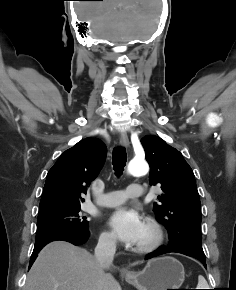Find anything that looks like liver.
<instances>
[{
  "instance_id": "liver-1",
  "label": "liver",
  "mask_w": 236,
  "mask_h": 290,
  "mask_svg": "<svg viewBox=\"0 0 236 290\" xmlns=\"http://www.w3.org/2000/svg\"><path fill=\"white\" fill-rule=\"evenodd\" d=\"M110 267H101L86 249L54 241L38 254L24 290H121L112 274L105 272Z\"/></svg>"
}]
</instances>
